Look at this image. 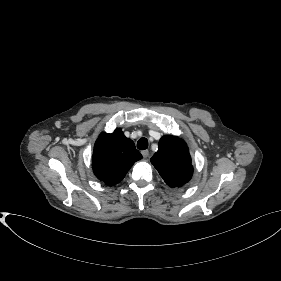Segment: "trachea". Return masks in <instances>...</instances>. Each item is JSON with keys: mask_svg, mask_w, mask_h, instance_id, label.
I'll return each instance as SVG.
<instances>
[{"mask_svg": "<svg viewBox=\"0 0 281 281\" xmlns=\"http://www.w3.org/2000/svg\"><path fill=\"white\" fill-rule=\"evenodd\" d=\"M137 148L140 150H145L148 148V140L146 138H140L137 142Z\"/></svg>", "mask_w": 281, "mask_h": 281, "instance_id": "trachea-1", "label": "trachea"}]
</instances>
